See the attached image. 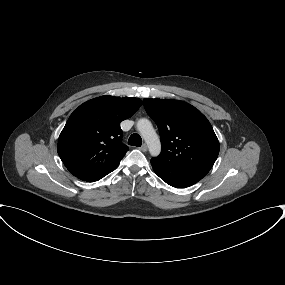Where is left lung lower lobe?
Returning a JSON list of instances; mask_svg holds the SVG:
<instances>
[{
    "mask_svg": "<svg viewBox=\"0 0 285 285\" xmlns=\"http://www.w3.org/2000/svg\"><path fill=\"white\" fill-rule=\"evenodd\" d=\"M151 164L155 173L163 181L177 188L189 187L205 176L200 172L184 167L169 166L156 158L151 159Z\"/></svg>",
    "mask_w": 285,
    "mask_h": 285,
    "instance_id": "1",
    "label": "left lung lower lobe"
}]
</instances>
